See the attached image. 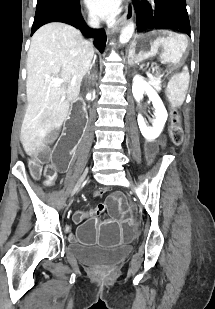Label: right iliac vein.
Returning <instances> with one entry per match:
<instances>
[{"label":"right iliac vein","mask_w":215,"mask_h":309,"mask_svg":"<svg viewBox=\"0 0 215 309\" xmlns=\"http://www.w3.org/2000/svg\"><path fill=\"white\" fill-rule=\"evenodd\" d=\"M86 174H87V170L83 173L82 178H81V179L78 181V183L75 185L73 191L71 192V196H73V195L79 190V188H80V186H81L83 180H84L85 177H86Z\"/></svg>","instance_id":"1"}]
</instances>
